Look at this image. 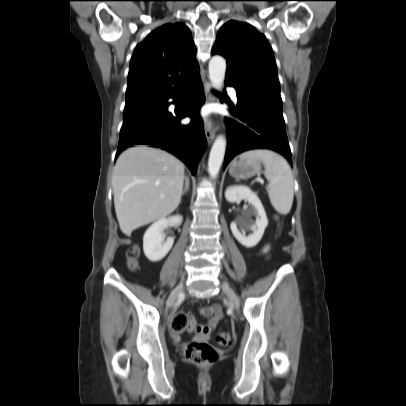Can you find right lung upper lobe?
I'll use <instances>...</instances> for the list:
<instances>
[{
    "mask_svg": "<svg viewBox=\"0 0 406 406\" xmlns=\"http://www.w3.org/2000/svg\"><path fill=\"white\" fill-rule=\"evenodd\" d=\"M196 47L183 23L165 24L139 43L132 55L126 105L164 99L199 76Z\"/></svg>",
    "mask_w": 406,
    "mask_h": 406,
    "instance_id": "cb5924a9",
    "label": "right lung upper lobe"
}]
</instances>
